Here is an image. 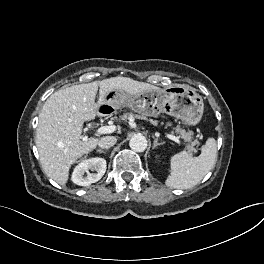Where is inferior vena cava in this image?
<instances>
[{
    "label": "inferior vena cava",
    "mask_w": 264,
    "mask_h": 264,
    "mask_svg": "<svg viewBox=\"0 0 264 264\" xmlns=\"http://www.w3.org/2000/svg\"><path fill=\"white\" fill-rule=\"evenodd\" d=\"M117 142L114 136H105L99 139L98 146L100 148L108 149L112 147Z\"/></svg>",
    "instance_id": "602c4592"
}]
</instances>
